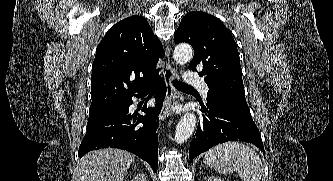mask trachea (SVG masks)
<instances>
[{"label":"trachea","instance_id":"obj_1","mask_svg":"<svg viewBox=\"0 0 333 181\" xmlns=\"http://www.w3.org/2000/svg\"><path fill=\"white\" fill-rule=\"evenodd\" d=\"M172 84L175 88H177L178 90H185V89H194L192 86H189L185 83H182L180 81L177 80H173Z\"/></svg>","mask_w":333,"mask_h":181}]
</instances>
